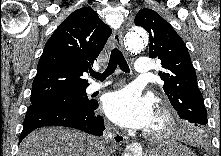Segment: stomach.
Segmentation results:
<instances>
[{
    "label": "stomach",
    "mask_w": 221,
    "mask_h": 156,
    "mask_svg": "<svg viewBox=\"0 0 221 156\" xmlns=\"http://www.w3.org/2000/svg\"><path fill=\"white\" fill-rule=\"evenodd\" d=\"M149 156H195V154L176 141L170 140L151 149Z\"/></svg>",
    "instance_id": "0dacf381"
}]
</instances>
